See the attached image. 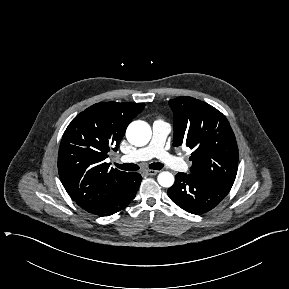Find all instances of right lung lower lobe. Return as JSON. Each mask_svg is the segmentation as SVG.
Wrapping results in <instances>:
<instances>
[{
    "mask_svg": "<svg viewBox=\"0 0 289 289\" xmlns=\"http://www.w3.org/2000/svg\"><path fill=\"white\" fill-rule=\"evenodd\" d=\"M142 177L136 172H131L128 180L120 192L111 200L97 208L92 214L109 216L125 208L135 197Z\"/></svg>",
    "mask_w": 289,
    "mask_h": 289,
    "instance_id": "obj_1",
    "label": "right lung lower lobe"
}]
</instances>
